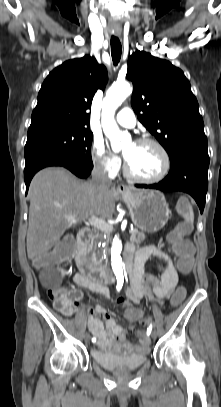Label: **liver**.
<instances>
[{
    "mask_svg": "<svg viewBox=\"0 0 221 407\" xmlns=\"http://www.w3.org/2000/svg\"><path fill=\"white\" fill-rule=\"evenodd\" d=\"M116 197L115 190L108 187L98 191L91 182L79 180L65 168L39 171L29 188L28 258L38 259L60 243L67 229L92 216L111 218ZM68 215H75L77 220L70 222Z\"/></svg>",
    "mask_w": 221,
    "mask_h": 407,
    "instance_id": "obj_1",
    "label": "liver"
}]
</instances>
